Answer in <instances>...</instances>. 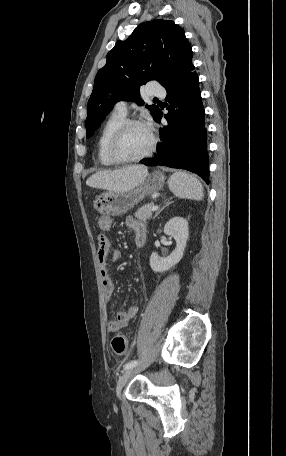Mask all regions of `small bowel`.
Masks as SVG:
<instances>
[{
    "instance_id": "1",
    "label": "small bowel",
    "mask_w": 286,
    "mask_h": 456,
    "mask_svg": "<svg viewBox=\"0 0 286 456\" xmlns=\"http://www.w3.org/2000/svg\"><path fill=\"white\" fill-rule=\"evenodd\" d=\"M113 220L110 216H102L98 221L99 229L101 233L98 237V250L97 258L100 266V277L102 283L103 296L106 301H109L114 292V282L109 274L107 264L108 262H116L121 258V252L118 249H111V244L105 232L109 231L112 227ZM125 224L134 232V239L136 240L141 234L146 236L145 225L134 218L128 216L125 220ZM138 306L131 305L126 310H120L116 314V319L111 320L107 324V329L111 333L120 331L126 327L130 321L137 315Z\"/></svg>"
}]
</instances>
